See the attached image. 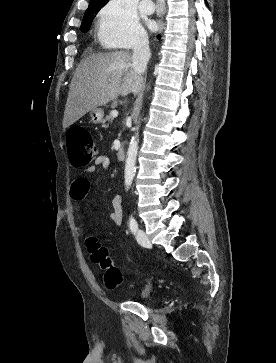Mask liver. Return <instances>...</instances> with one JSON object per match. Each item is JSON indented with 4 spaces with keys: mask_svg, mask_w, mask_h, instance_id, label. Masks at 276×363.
<instances>
[{
    "mask_svg": "<svg viewBox=\"0 0 276 363\" xmlns=\"http://www.w3.org/2000/svg\"><path fill=\"white\" fill-rule=\"evenodd\" d=\"M141 87L142 79L132 67L129 52L114 51L86 57L78 65L70 84L63 128L119 95L138 93Z\"/></svg>",
    "mask_w": 276,
    "mask_h": 363,
    "instance_id": "obj_1",
    "label": "liver"
}]
</instances>
